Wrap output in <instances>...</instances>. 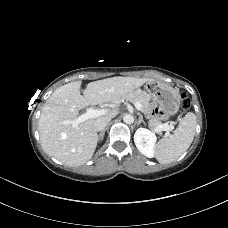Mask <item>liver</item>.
Masks as SVG:
<instances>
[{
  "label": "liver",
  "instance_id": "1",
  "mask_svg": "<svg viewBox=\"0 0 228 228\" xmlns=\"http://www.w3.org/2000/svg\"><path fill=\"white\" fill-rule=\"evenodd\" d=\"M148 78L112 77L90 82L81 95V81L65 84L56 89L44 104L38 121L40 142L43 150L67 166H80L89 161L98 142L94 122L113 118L117 110L87 119L78 125L65 124L79 117V111L89 105L115 102L123 95L135 91Z\"/></svg>",
  "mask_w": 228,
  "mask_h": 228
}]
</instances>
